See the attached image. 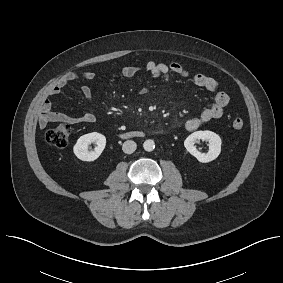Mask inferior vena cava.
Masks as SVG:
<instances>
[{
  "mask_svg": "<svg viewBox=\"0 0 283 283\" xmlns=\"http://www.w3.org/2000/svg\"><path fill=\"white\" fill-rule=\"evenodd\" d=\"M137 148V145L134 141L132 140H127L123 143V146H122V150L124 153L126 154H131L133 153Z\"/></svg>",
  "mask_w": 283,
  "mask_h": 283,
  "instance_id": "inferior-vena-cava-1",
  "label": "inferior vena cava"
}]
</instances>
